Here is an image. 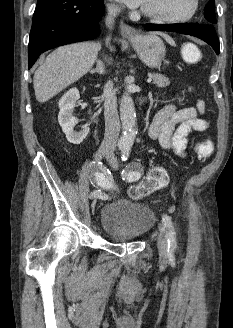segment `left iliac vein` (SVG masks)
I'll use <instances>...</instances> for the list:
<instances>
[{"label": "left iliac vein", "instance_id": "1", "mask_svg": "<svg viewBox=\"0 0 233 328\" xmlns=\"http://www.w3.org/2000/svg\"><path fill=\"white\" fill-rule=\"evenodd\" d=\"M106 160L107 162L110 164V166L113 169H117L118 168V160L115 156V154L113 153V151H110L107 156H106ZM159 236H158V241H157V246H158V250L159 253L162 256H166L168 253V238H167V234L165 232V229L162 227V225H159Z\"/></svg>", "mask_w": 233, "mask_h": 328}]
</instances>
